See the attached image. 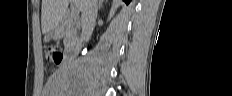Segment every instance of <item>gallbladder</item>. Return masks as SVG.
I'll return each mask as SVG.
<instances>
[{
  "label": "gallbladder",
  "mask_w": 232,
  "mask_h": 96,
  "mask_svg": "<svg viewBox=\"0 0 232 96\" xmlns=\"http://www.w3.org/2000/svg\"><path fill=\"white\" fill-rule=\"evenodd\" d=\"M58 28H59V27H57V28L54 29L52 32H50L49 34L46 35V37H45V41H46V42L50 41V39L54 37V35H55V33L57 32V29H58Z\"/></svg>",
  "instance_id": "obj_1"
}]
</instances>
